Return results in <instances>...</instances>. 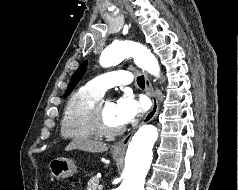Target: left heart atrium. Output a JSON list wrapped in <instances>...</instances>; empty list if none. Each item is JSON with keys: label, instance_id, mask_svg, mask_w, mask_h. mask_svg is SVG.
<instances>
[{"label": "left heart atrium", "instance_id": "left-heart-atrium-1", "mask_svg": "<svg viewBox=\"0 0 238 190\" xmlns=\"http://www.w3.org/2000/svg\"><path fill=\"white\" fill-rule=\"evenodd\" d=\"M116 104L118 117L123 124L133 122L146 110V102L129 93L121 96Z\"/></svg>", "mask_w": 238, "mask_h": 190}]
</instances>
